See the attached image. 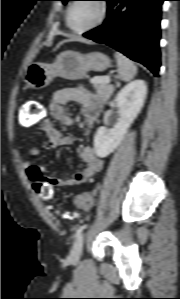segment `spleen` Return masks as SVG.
<instances>
[{"instance_id": "1", "label": "spleen", "mask_w": 180, "mask_h": 299, "mask_svg": "<svg viewBox=\"0 0 180 299\" xmlns=\"http://www.w3.org/2000/svg\"><path fill=\"white\" fill-rule=\"evenodd\" d=\"M115 58L118 66V77L125 82L131 81L137 73V67L123 54L116 52Z\"/></svg>"}]
</instances>
